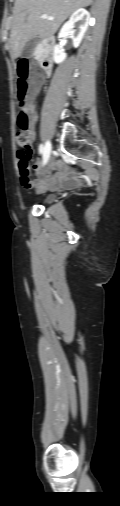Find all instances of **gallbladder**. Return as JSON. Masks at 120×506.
<instances>
[{"label": "gallbladder", "instance_id": "obj_1", "mask_svg": "<svg viewBox=\"0 0 120 506\" xmlns=\"http://www.w3.org/2000/svg\"><path fill=\"white\" fill-rule=\"evenodd\" d=\"M40 39L38 37L32 38L29 43L26 45L22 52V57L24 58H31L34 54V51L36 49V46L39 44Z\"/></svg>", "mask_w": 120, "mask_h": 506}]
</instances>
